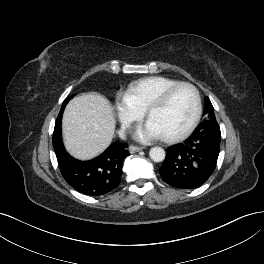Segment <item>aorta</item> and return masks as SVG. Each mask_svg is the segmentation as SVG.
<instances>
[{
    "label": "aorta",
    "mask_w": 264,
    "mask_h": 264,
    "mask_svg": "<svg viewBox=\"0 0 264 264\" xmlns=\"http://www.w3.org/2000/svg\"><path fill=\"white\" fill-rule=\"evenodd\" d=\"M149 156L154 162H162L165 159V150L162 147H153L149 151Z\"/></svg>",
    "instance_id": "1"
}]
</instances>
